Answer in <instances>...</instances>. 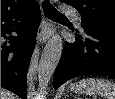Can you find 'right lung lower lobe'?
Wrapping results in <instances>:
<instances>
[{"label": "right lung lower lobe", "instance_id": "98d812e1", "mask_svg": "<svg viewBox=\"0 0 115 99\" xmlns=\"http://www.w3.org/2000/svg\"><path fill=\"white\" fill-rule=\"evenodd\" d=\"M39 23L40 9L36 1L21 12L1 17V87L22 99H26L27 70ZM13 31L17 36L6 37Z\"/></svg>", "mask_w": 115, "mask_h": 99}]
</instances>
